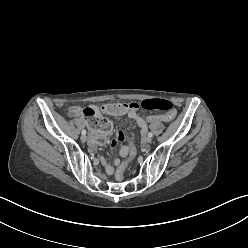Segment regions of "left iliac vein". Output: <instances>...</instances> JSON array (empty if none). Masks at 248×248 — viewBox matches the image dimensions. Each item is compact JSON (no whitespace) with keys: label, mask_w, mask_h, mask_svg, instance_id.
Segmentation results:
<instances>
[{"label":"left iliac vein","mask_w":248,"mask_h":248,"mask_svg":"<svg viewBox=\"0 0 248 248\" xmlns=\"http://www.w3.org/2000/svg\"><path fill=\"white\" fill-rule=\"evenodd\" d=\"M151 141H152V138H151V137L147 136V137L145 138V142H146V143H151Z\"/></svg>","instance_id":"left-iliac-vein-1"}]
</instances>
